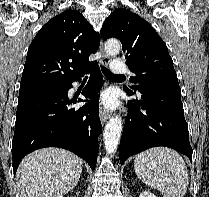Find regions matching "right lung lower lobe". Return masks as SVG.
Wrapping results in <instances>:
<instances>
[{
    "label": "right lung lower lobe",
    "instance_id": "obj_1",
    "mask_svg": "<svg viewBox=\"0 0 209 197\" xmlns=\"http://www.w3.org/2000/svg\"><path fill=\"white\" fill-rule=\"evenodd\" d=\"M86 72L91 79L82 94L90 103L75 109L67 97L72 82L61 90L32 96L18 102L15 132L12 142L13 170H16L25 155L43 147H59L72 151L84 159L94 170L99 152L98 136L102 129L99 119V95L103 84L97 64ZM83 101L78 99V102Z\"/></svg>",
    "mask_w": 209,
    "mask_h": 197
}]
</instances>
